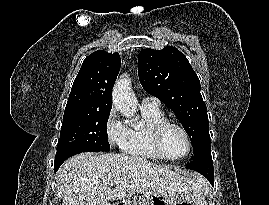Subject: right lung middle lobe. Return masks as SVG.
<instances>
[{
	"mask_svg": "<svg viewBox=\"0 0 269 205\" xmlns=\"http://www.w3.org/2000/svg\"><path fill=\"white\" fill-rule=\"evenodd\" d=\"M111 109L66 107L57 150L65 147L109 151L107 122Z\"/></svg>",
	"mask_w": 269,
	"mask_h": 205,
	"instance_id": "1",
	"label": "right lung middle lobe"
}]
</instances>
